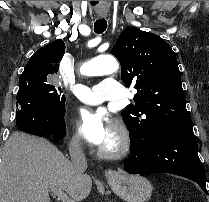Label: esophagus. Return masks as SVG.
<instances>
[{
  "label": "esophagus",
  "instance_id": "esophagus-1",
  "mask_svg": "<svg viewBox=\"0 0 209 202\" xmlns=\"http://www.w3.org/2000/svg\"><path fill=\"white\" fill-rule=\"evenodd\" d=\"M99 16L100 17H105V16H107V14L106 13H100ZM117 174L118 173L113 169L106 170V176H107L108 179L115 178L117 176Z\"/></svg>",
  "mask_w": 209,
  "mask_h": 202
}]
</instances>
